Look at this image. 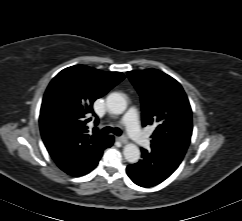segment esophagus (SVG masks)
I'll return each instance as SVG.
<instances>
[{
  "mask_svg": "<svg viewBox=\"0 0 242 221\" xmlns=\"http://www.w3.org/2000/svg\"><path fill=\"white\" fill-rule=\"evenodd\" d=\"M116 139H117L119 142L123 143V144H125V143L128 142L127 138L124 137V136H123V137H116Z\"/></svg>",
  "mask_w": 242,
  "mask_h": 221,
  "instance_id": "esophagus-1",
  "label": "esophagus"
}]
</instances>
